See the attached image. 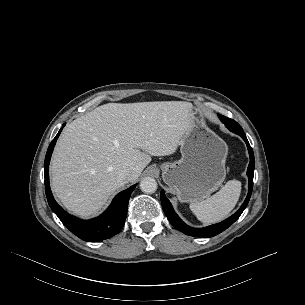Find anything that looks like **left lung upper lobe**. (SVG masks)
Here are the masks:
<instances>
[{
  "mask_svg": "<svg viewBox=\"0 0 305 305\" xmlns=\"http://www.w3.org/2000/svg\"><path fill=\"white\" fill-rule=\"evenodd\" d=\"M219 118L230 131H232L236 134L244 133L243 129L236 121H234L230 118H227L223 115H220V114H219Z\"/></svg>",
  "mask_w": 305,
  "mask_h": 305,
  "instance_id": "5c2ea615",
  "label": "left lung upper lobe"
}]
</instances>
